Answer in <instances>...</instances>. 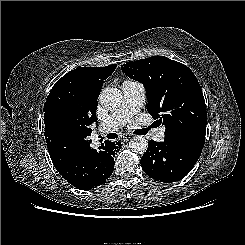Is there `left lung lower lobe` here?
<instances>
[{
	"label": "left lung lower lobe",
	"instance_id": "left-lung-lower-lobe-1",
	"mask_svg": "<svg viewBox=\"0 0 245 245\" xmlns=\"http://www.w3.org/2000/svg\"><path fill=\"white\" fill-rule=\"evenodd\" d=\"M203 146L171 144L150 140L141 158L142 169L149 177L164 183L183 179L199 159Z\"/></svg>",
	"mask_w": 245,
	"mask_h": 245
}]
</instances>
